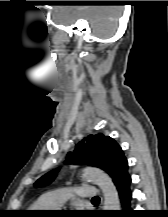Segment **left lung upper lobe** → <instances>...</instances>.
<instances>
[{"instance_id": "obj_1", "label": "left lung upper lobe", "mask_w": 168, "mask_h": 217, "mask_svg": "<svg viewBox=\"0 0 168 217\" xmlns=\"http://www.w3.org/2000/svg\"><path fill=\"white\" fill-rule=\"evenodd\" d=\"M66 164L96 166L106 171L116 185L125 172L128 164L126 157L117 142L104 134L89 135L82 139L66 158ZM58 170H52L35 183L47 185L54 180Z\"/></svg>"}]
</instances>
